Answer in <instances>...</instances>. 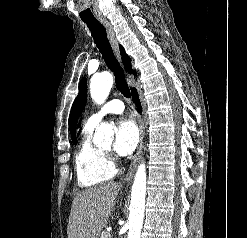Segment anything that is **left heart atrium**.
Wrapping results in <instances>:
<instances>
[{"mask_svg": "<svg viewBox=\"0 0 247 238\" xmlns=\"http://www.w3.org/2000/svg\"><path fill=\"white\" fill-rule=\"evenodd\" d=\"M138 138L136 124L130 119H122L116 125L114 150L119 155L126 156L135 149Z\"/></svg>", "mask_w": 247, "mask_h": 238, "instance_id": "1", "label": "left heart atrium"}]
</instances>
